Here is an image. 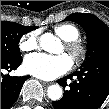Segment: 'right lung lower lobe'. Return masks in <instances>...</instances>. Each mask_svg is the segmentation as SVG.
I'll list each match as a JSON object with an SVG mask.
<instances>
[{
  "instance_id": "right-lung-lower-lobe-1",
  "label": "right lung lower lobe",
  "mask_w": 109,
  "mask_h": 109,
  "mask_svg": "<svg viewBox=\"0 0 109 109\" xmlns=\"http://www.w3.org/2000/svg\"><path fill=\"white\" fill-rule=\"evenodd\" d=\"M22 62L21 58H1V109H9L16 101L24 82L29 76L11 77L5 71L15 70Z\"/></svg>"
}]
</instances>
